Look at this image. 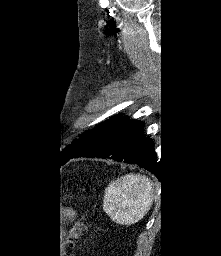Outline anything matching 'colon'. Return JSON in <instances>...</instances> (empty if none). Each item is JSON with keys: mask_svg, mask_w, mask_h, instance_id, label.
<instances>
[{"mask_svg": "<svg viewBox=\"0 0 221 256\" xmlns=\"http://www.w3.org/2000/svg\"><path fill=\"white\" fill-rule=\"evenodd\" d=\"M85 220H87V219H85ZM85 220L82 221V222H80V223L76 226V228H75L73 234H72L71 237L69 238V242H70L71 244H73L74 242H76V241L78 240V238H79L82 234H84L85 231L88 229V222L85 221Z\"/></svg>", "mask_w": 221, "mask_h": 256, "instance_id": "1", "label": "colon"}]
</instances>
